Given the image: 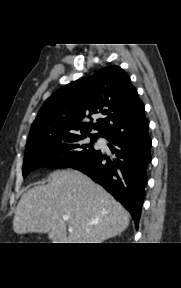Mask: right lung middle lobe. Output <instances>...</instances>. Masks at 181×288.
Listing matches in <instances>:
<instances>
[{
	"instance_id": "1",
	"label": "right lung middle lobe",
	"mask_w": 181,
	"mask_h": 288,
	"mask_svg": "<svg viewBox=\"0 0 181 288\" xmlns=\"http://www.w3.org/2000/svg\"><path fill=\"white\" fill-rule=\"evenodd\" d=\"M87 136L91 143L84 140ZM95 140L93 135L54 133L27 141L23 177L39 167H71L98 151Z\"/></svg>"
}]
</instances>
